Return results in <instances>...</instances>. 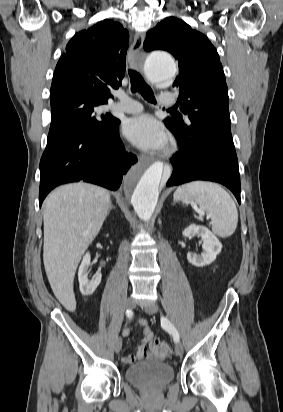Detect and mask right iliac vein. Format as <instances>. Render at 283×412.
I'll use <instances>...</instances> for the list:
<instances>
[{
  "instance_id": "1",
  "label": "right iliac vein",
  "mask_w": 283,
  "mask_h": 412,
  "mask_svg": "<svg viewBox=\"0 0 283 412\" xmlns=\"http://www.w3.org/2000/svg\"><path fill=\"white\" fill-rule=\"evenodd\" d=\"M134 307V300L132 298H129L126 302V308L128 310H131ZM122 348V339L121 337H117L115 342H114V350L116 353H119Z\"/></svg>"
}]
</instances>
